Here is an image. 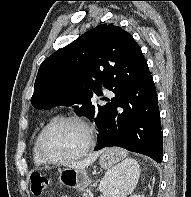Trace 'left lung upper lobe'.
Instances as JSON below:
<instances>
[{"mask_svg":"<svg viewBox=\"0 0 191 197\" xmlns=\"http://www.w3.org/2000/svg\"><path fill=\"white\" fill-rule=\"evenodd\" d=\"M145 67L147 62L130 33L114 24H101L42 62L31 103L45 110L73 106L92 120L102 108L91 101L102 94L100 84L112 90L125 71Z\"/></svg>","mask_w":191,"mask_h":197,"instance_id":"left-lung-upper-lobe-1","label":"left lung upper lobe"}]
</instances>
